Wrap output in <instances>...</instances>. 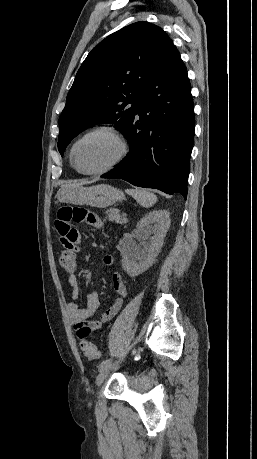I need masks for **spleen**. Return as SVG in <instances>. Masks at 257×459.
Returning a JSON list of instances; mask_svg holds the SVG:
<instances>
[{
    "mask_svg": "<svg viewBox=\"0 0 257 459\" xmlns=\"http://www.w3.org/2000/svg\"><path fill=\"white\" fill-rule=\"evenodd\" d=\"M126 192L145 208H149L157 202V196L148 190L137 188L129 189Z\"/></svg>",
    "mask_w": 257,
    "mask_h": 459,
    "instance_id": "spleen-1",
    "label": "spleen"
}]
</instances>
